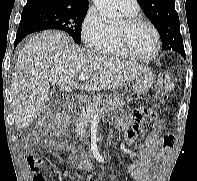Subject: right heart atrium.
Listing matches in <instances>:
<instances>
[{
    "label": "right heart atrium",
    "mask_w": 197,
    "mask_h": 181,
    "mask_svg": "<svg viewBox=\"0 0 197 181\" xmlns=\"http://www.w3.org/2000/svg\"><path fill=\"white\" fill-rule=\"evenodd\" d=\"M109 34L110 29L99 12L93 7L89 8L81 23L84 44L91 50L100 51L107 43Z\"/></svg>",
    "instance_id": "obj_1"
}]
</instances>
